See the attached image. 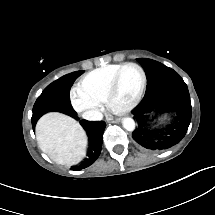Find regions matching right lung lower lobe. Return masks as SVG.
Returning <instances> with one entry per match:
<instances>
[{
    "label": "right lung lower lobe",
    "instance_id": "obj_1",
    "mask_svg": "<svg viewBox=\"0 0 215 215\" xmlns=\"http://www.w3.org/2000/svg\"><path fill=\"white\" fill-rule=\"evenodd\" d=\"M37 120H32L33 130L35 129ZM80 124L87 133L89 147L85 160L80 165L72 167L71 170H81L92 165L98 159L102 148L103 132L106 124L103 121L94 122L87 120H81Z\"/></svg>",
    "mask_w": 215,
    "mask_h": 215
}]
</instances>
